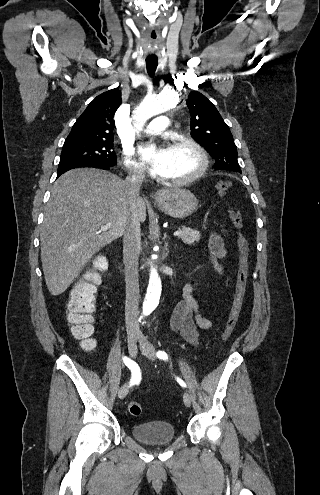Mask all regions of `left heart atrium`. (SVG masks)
Instances as JSON below:
<instances>
[{
    "instance_id": "1",
    "label": "left heart atrium",
    "mask_w": 320,
    "mask_h": 495,
    "mask_svg": "<svg viewBox=\"0 0 320 495\" xmlns=\"http://www.w3.org/2000/svg\"><path fill=\"white\" fill-rule=\"evenodd\" d=\"M169 162L168 149H160L150 159L147 164L150 172L154 175L165 176Z\"/></svg>"
}]
</instances>
